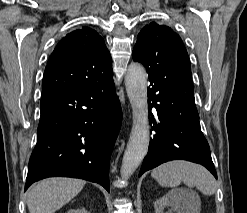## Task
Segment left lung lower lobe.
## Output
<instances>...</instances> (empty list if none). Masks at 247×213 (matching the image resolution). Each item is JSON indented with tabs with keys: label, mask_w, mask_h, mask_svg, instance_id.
I'll list each match as a JSON object with an SVG mask.
<instances>
[{
	"label": "left lung lower lobe",
	"mask_w": 247,
	"mask_h": 213,
	"mask_svg": "<svg viewBox=\"0 0 247 213\" xmlns=\"http://www.w3.org/2000/svg\"><path fill=\"white\" fill-rule=\"evenodd\" d=\"M147 73L153 133L139 176L164 162L181 159L205 166L217 178L208 142L200 128L191 74L181 68Z\"/></svg>",
	"instance_id": "0a47b994"
}]
</instances>
